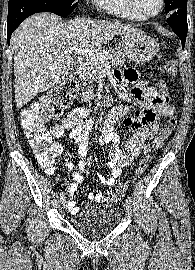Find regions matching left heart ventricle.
Segmentation results:
<instances>
[{
  "label": "left heart ventricle",
  "instance_id": "1",
  "mask_svg": "<svg viewBox=\"0 0 195 270\" xmlns=\"http://www.w3.org/2000/svg\"><path fill=\"white\" fill-rule=\"evenodd\" d=\"M136 8L142 14H153L157 12L160 0H133Z\"/></svg>",
  "mask_w": 195,
  "mask_h": 270
}]
</instances>
